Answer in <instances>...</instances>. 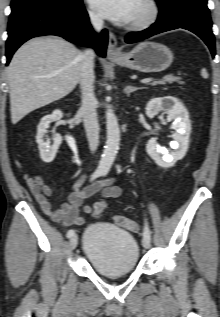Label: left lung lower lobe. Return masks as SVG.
I'll use <instances>...</instances> for the list:
<instances>
[{"mask_svg": "<svg viewBox=\"0 0 220 317\" xmlns=\"http://www.w3.org/2000/svg\"><path fill=\"white\" fill-rule=\"evenodd\" d=\"M157 21L148 29L133 32L125 37L126 43H133L153 35L183 28L198 35L215 56V39L212 33V21L207 8V0H169L159 4Z\"/></svg>", "mask_w": 220, "mask_h": 317, "instance_id": "obj_1", "label": "left lung lower lobe"}]
</instances>
